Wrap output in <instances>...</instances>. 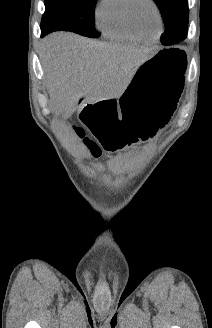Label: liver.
<instances>
[{"instance_id":"liver-1","label":"liver","mask_w":212,"mask_h":328,"mask_svg":"<svg viewBox=\"0 0 212 328\" xmlns=\"http://www.w3.org/2000/svg\"><path fill=\"white\" fill-rule=\"evenodd\" d=\"M153 55L151 49L135 48L71 33H54L44 40L42 63L49 79L51 107L64 119L89 102L119 98L136 69Z\"/></svg>"}]
</instances>
